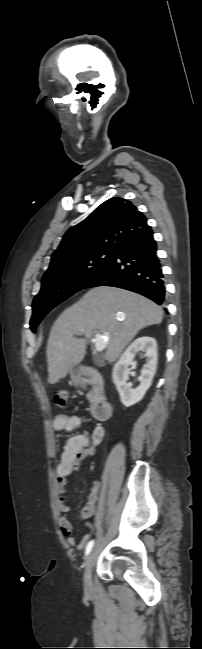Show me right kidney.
<instances>
[{
    "label": "right kidney",
    "instance_id": "1",
    "mask_svg": "<svg viewBox=\"0 0 202 649\" xmlns=\"http://www.w3.org/2000/svg\"><path fill=\"white\" fill-rule=\"evenodd\" d=\"M139 352L145 353L146 364L141 371L140 385L132 389L131 385L127 383L130 372L128 367L134 362L135 356ZM156 368L157 344L155 339L149 336H141L135 339L123 352L118 362L114 365L112 372L113 382L116 385L124 406L129 407L143 398L152 384Z\"/></svg>",
    "mask_w": 202,
    "mask_h": 649
}]
</instances>
